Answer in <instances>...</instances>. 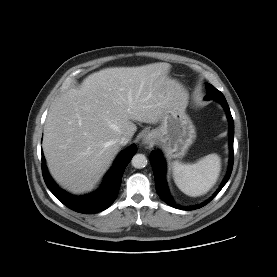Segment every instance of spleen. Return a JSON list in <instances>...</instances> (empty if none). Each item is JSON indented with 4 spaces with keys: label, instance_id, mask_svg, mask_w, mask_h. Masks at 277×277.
I'll return each instance as SVG.
<instances>
[{
    "label": "spleen",
    "instance_id": "1",
    "mask_svg": "<svg viewBox=\"0 0 277 277\" xmlns=\"http://www.w3.org/2000/svg\"><path fill=\"white\" fill-rule=\"evenodd\" d=\"M172 170L174 182L184 194L201 196L216 184L221 171V159L212 153L194 164L174 161Z\"/></svg>",
    "mask_w": 277,
    "mask_h": 277
}]
</instances>
